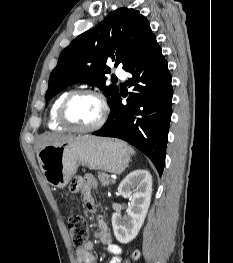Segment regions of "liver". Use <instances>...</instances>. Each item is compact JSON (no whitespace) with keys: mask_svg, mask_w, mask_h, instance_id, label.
Here are the masks:
<instances>
[{"mask_svg":"<svg viewBox=\"0 0 233 263\" xmlns=\"http://www.w3.org/2000/svg\"><path fill=\"white\" fill-rule=\"evenodd\" d=\"M72 137L73 136H71V135L46 132L37 138L35 145H34L35 152H36V154H38L39 151L41 150V148H43L47 145L57 144L63 140H67V139H70Z\"/></svg>","mask_w":233,"mask_h":263,"instance_id":"obj_1","label":"liver"}]
</instances>
